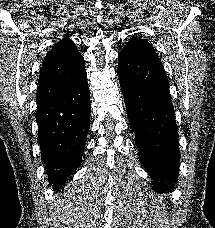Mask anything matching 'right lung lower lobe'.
<instances>
[{"instance_id": "98d812e1", "label": "right lung lower lobe", "mask_w": 215, "mask_h": 228, "mask_svg": "<svg viewBox=\"0 0 215 228\" xmlns=\"http://www.w3.org/2000/svg\"><path fill=\"white\" fill-rule=\"evenodd\" d=\"M90 114L87 74L70 81L58 97L37 106L38 142L50 184L61 188L80 166Z\"/></svg>"}]
</instances>
